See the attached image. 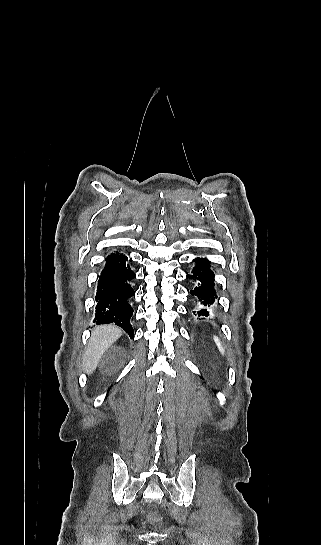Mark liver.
I'll return each mask as SVG.
<instances>
[{"label": "liver", "instance_id": "6515ba94", "mask_svg": "<svg viewBox=\"0 0 321 545\" xmlns=\"http://www.w3.org/2000/svg\"><path fill=\"white\" fill-rule=\"evenodd\" d=\"M122 331L111 325H100L92 331L83 357L82 369L87 375L94 373L102 355L121 337Z\"/></svg>", "mask_w": 321, "mask_h": 545}]
</instances>
